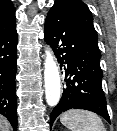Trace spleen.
<instances>
[{"label":"spleen","instance_id":"1","mask_svg":"<svg viewBox=\"0 0 117 131\" xmlns=\"http://www.w3.org/2000/svg\"><path fill=\"white\" fill-rule=\"evenodd\" d=\"M60 122L70 131H106L101 118L86 110H69L60 116Z\"/></svg>","mask_w":117,"mask_h":131}]
</instances>
